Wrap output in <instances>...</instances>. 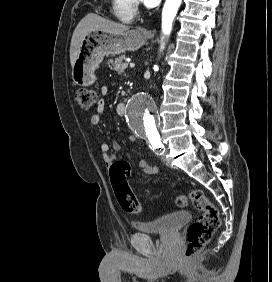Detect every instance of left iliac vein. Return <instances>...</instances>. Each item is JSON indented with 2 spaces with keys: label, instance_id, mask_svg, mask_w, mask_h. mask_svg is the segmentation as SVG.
Segmentation results:
<instances>
[{
  "label": "left iliac vein",
  "instance_id": "4c4485c4",
  "mask_svg": "<svg viewBox=\"0 0 272 282\" xmlns=\"http://www.w3.org/2000/svg\"><path fill=\"white\" fill-rule=\"evenodd\" d=\"M166 153H167V151H166L165 149H163V150L161 151V159H162L164 162L167 161V159H166Z\"/></svg>",
  "mask_w": 272,
  "mask_h": 282
}]
</instances>
